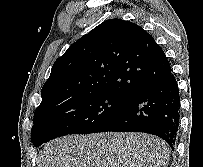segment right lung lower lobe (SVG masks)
<instances>
[{"mask_svg": "<svg viewBox=\"0 0 203 167\" xmlns=\"http://www.w3.org/2000/svg\"><path fill=\"white\" fill-rule=\"evenodd\" d=\"M180 121V97L175 76L149 85L128 101L93 133L144 132L164 139L174 150Z\"/></svg>", "mask_w": 203, "mask_h": 167, "instance_id": "98d812e1", "label": "right lung lower lobe"}]
</instances>
